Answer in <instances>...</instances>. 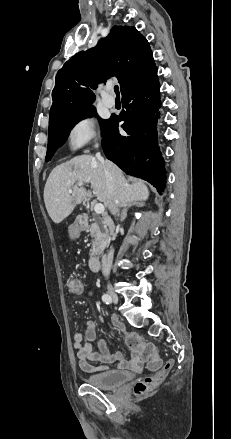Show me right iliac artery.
Listing matches in <instances>:
<instances>
[{
	"label": "right iliac artery",
	"instance_id": "obj_1",
	"mask_svg": "<svg viewBox=\"0 0 231 439\" xmlns=\"http://www.w3.org/2000/svg\"><path fill=\"white\" fill-rule=\"evenodd\" d=\"M102 301L106 304H110L112 302V299L108 294H103Z\"/></svg>",
	"mask_w": 231,
	"mask_h": 439
}]
</instances>
